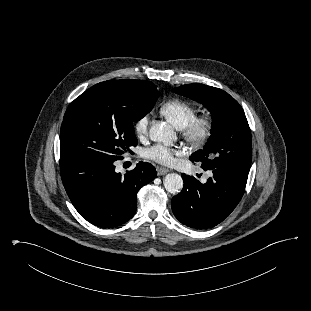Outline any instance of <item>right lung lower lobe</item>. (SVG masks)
Returning a JSON list of instances; mask_svg holds the SVG:
<instances>
[{"label":"right lung lower lobe","instance_id":"98d812e1","mask_svg":"<svg viewBox=\"0 0 311 311\" xmlns=\"http://www.w3.org/2000/svg\"><path fill=\"white\" fill-rule=\"evenodd\" d=\"M65 190L79 214L100 228H112L132 218L137 192L153 181V165L139 162L125 175L115 171L114 161L65 159L60 161Z\"/></svg>","mask_w":311,"mask_h":311}]
</instances>
